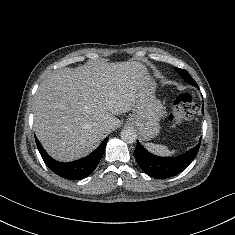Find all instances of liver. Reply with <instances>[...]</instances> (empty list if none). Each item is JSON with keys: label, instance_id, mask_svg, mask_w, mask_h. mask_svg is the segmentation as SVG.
I'll return each instance as SVG.
<instances>
[{"label": "liver", "instance_id": "liver-1", "mask_svg": "<svg viewBox=\"0 0 235 235\" xmlns=\"http://www.w3.org/2000/svg\"><path fill=\"white\" fill-rule=\"evenodd\" d=\"M147 74L136 61L62 68L47 76L34 97V130L56 160L91 153L120 125L115 115L135 107L139 80ZM107 124L106 129L102 128Z\"/></svg>", "mask_w": 235, "mask_h": 235}]
</instances>
